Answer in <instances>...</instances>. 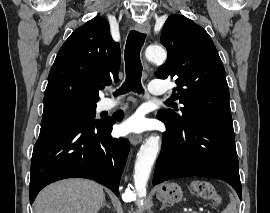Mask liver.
Returning a JSON list of instances; mask_svg holds the SVG:
<instances>
[{
	"label": "liver",
	"instance_id": "6515ba94",
	"mask_svg": "<svg viewBox=\"0 0 270 213\" xmlns=\"http://www.w3.org/2000/svg\"><path fill=\"white\" fill-rule=\"evenodd\" d=\"M105 201L103 188L90 180L68 179L43 189L34 213H98Z\"/></svg>",
	"mask_w": 270,
	"mask_h": 213
}]
</instances>
